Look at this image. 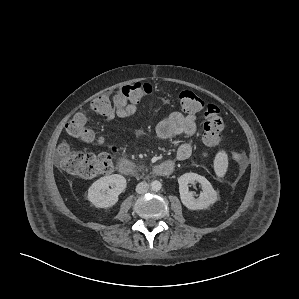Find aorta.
Returning <instances> with one entry per match:
<instances>
[{
    "label": "aorta",
    "mask_w": 299,
    "mask_h": 299,
    "mask_svg": "<svg viewBox=\"0 0 299 299\" xmlns=\"http://www.w3.org/2000/svg\"><path fill=\"white\" fill-rule=\"evenodd\" d=\"M162 188V184L160 181L155 180L151 182V189L153 191H159Z\"/></svg>",
    "instance_id": "1"
}]
</instances>
